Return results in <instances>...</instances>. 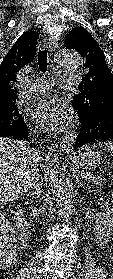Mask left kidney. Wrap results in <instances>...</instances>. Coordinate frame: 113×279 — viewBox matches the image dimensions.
Here are the masks:
<instances>
[{
    "label": "left kidney",
    "instance_id": "left-kidney-1",
    "mask_svg": "<svg viewBox=\"0 0 113 279\" xmlns=\"http://www.w3.org/2000/svg\"><path fill=\"white\" fill-rule=\"evenodd\" d=\"M105 208L97 214L94 224L95 239L98 246H105L113 235V209L108 203H104Z\"/></svg>",
    "mask_w": 113,
    "mask_h": 279
}]
</instances>
